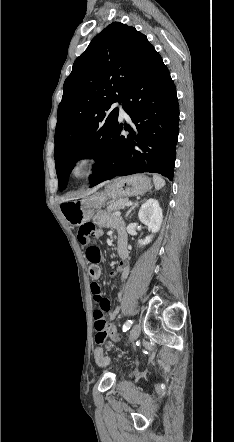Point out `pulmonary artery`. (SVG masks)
Returning a JSON list of instances; mask_svg holds the SVG:
<instances>
[{"mask_svg": "<svg viewBox=\"0 0 234 442\" xmlns=\"http://www.w3.org/2000/svg\"><path fill=\"white\" fill-rule=\"evenodd\" d=\"M113 107H114V108H117V109L119 110L120 117H122V118L126 117V112H125V110H124V108H123V106H122V103H120V102H115V103L113 104Z\"/></svg>", "mask_w": 234, "mask_h": 442, "instance_id": "1", "label": "pulmonary artery"}]
</instances>
